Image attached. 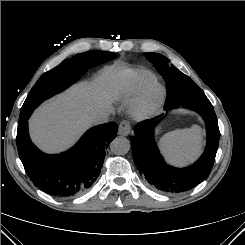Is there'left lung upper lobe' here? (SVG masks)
<instances>
[{
    "label": "left lung upper lobe",
    "instance_id": "5c2ea615",
    "mask_svg": "<svg viewBox=\"0 0 245 245\" xmlns=\"http://www.w3.org/2000/svg\"><path fill=\"white\" fill-rule=\"evenodd\" d=\"M145 57L154 64L157 71L163 76L167 87L166 106L169 108L178 105H212L208 98L198 99L196 92L203 91L194 83V81L178 70L169 59L158 53H145Z\"/></svg>",
    "mask_w": 245,
    "mask_h": 245
}]
</instances>
